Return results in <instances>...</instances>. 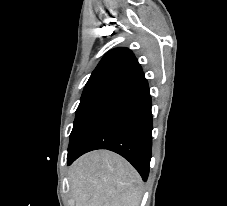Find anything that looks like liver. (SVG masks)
I'll list each match as a JSON object with an SVG mask.
<instances>
[{"instance_id": "liver-1", "label": "liver", "mask_w": 227, "mask_h": 206, "mask_svg": "<svg viewBox=\"0 0 227 206\" xmlns=\"http://www.w3.org/2000/svg\"><path fill=\"white\" fill-rule=\"evenodd\" d=\"M68 179L76 206H139L143 195L138 172L107 150L92 151L77 159Z\"/></svg>"}]
</instances>
